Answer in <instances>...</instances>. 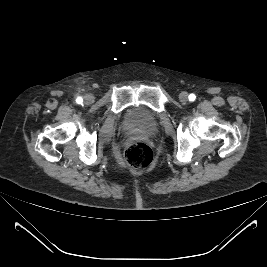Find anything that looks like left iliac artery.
<instances>
[{
    "instance_id": "obj_1",
    "label": "left iliac artery",
    "mask_w": 267,
    "mask_h": 267,
    "mask_svg": "<svg viewBox=\"0 0 267 267\" xmlns=\"http://www.w3.org/2000/svg\"><path fill=\"white\" fill-rule=\"evenodd\" d=\"M195 98H196V96H195L194 94H190V95H189V100H190V101H194Z\"/></svg>"
}]
</instances>
